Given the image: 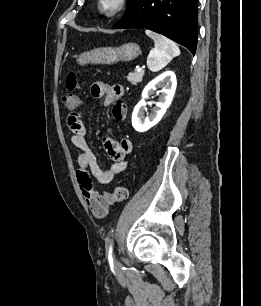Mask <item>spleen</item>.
I'll return each mask as SVG.
<instances>
[{
    "mask_svg": "<svg viewBox=\"0 0 261 306\" xmlns=\"http://www.w3.org/2000/svg\"><path fill=\"white\" fill-rule=\"evenodd\" d=\"M153 39L155 47L147 57V66L150 71L157 72L164 68L174 57L180 54L176 43L151 30L145 31Z\"/></svg>",
    "mask_w": 261,
    "mask_h": 306,
    "instance_id": "obj_1",
    "label": "spleen"
}]
</instances>
